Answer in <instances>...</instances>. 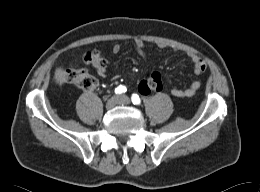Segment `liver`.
<instances>
[{
	"label": "liver",
	"instance_id": "obj_1",
	"mask_svg": "<svg viewBox=\"0 0 260 192\" xmlns=\"http://www.w3.org/2000/svg\"><path fill=\"white\" fill-rule=\"evenodd\" d=\"M54 79L57 84H64L67 81V74L65 70L61 67L57 68L55 71Z\"/></svg>",
	"mask_w": 260,
	"mask_h": 192
}]
</instances>
